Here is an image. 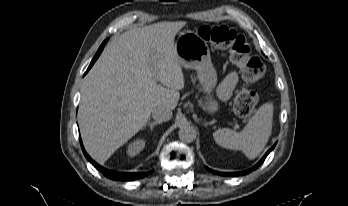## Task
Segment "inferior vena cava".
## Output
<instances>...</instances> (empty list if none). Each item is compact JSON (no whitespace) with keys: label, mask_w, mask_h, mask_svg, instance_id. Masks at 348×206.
Wrapping results in <instances>:
<instances>
[{"label":"inferior vena cava","mask_w":348,"mask_h":206,"mask_svg":"<svg viewBox=\"0 0 348 206\" xmlns=\"http://www.w3.org/2000/svg\"><path fill=\"white\" fill-rule=\"evenodd\" d=\"M151 116L155 121L166 122L171 119L172 111L163 107H157L152 110Z\"/></svg>","instance_id":"602c4592"}]
</instances>
